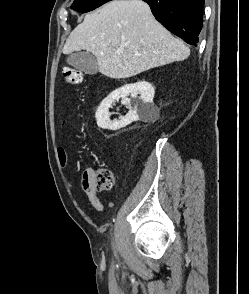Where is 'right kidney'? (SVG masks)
Wrapping results in <instances>:
<instances>
[{
  "label": "right kidney",
  "instance_id": "1",
  "mask_svg": "<svg viewBox=\"0 0 249 294\" xmlns=\"http://www.w3.org/2000/svg\"><path fill=\"white\" fill-rule=\"evenodd\" d=\"M154 94V87L147 81L127 84L116 89L101 102L96 111L95 118L98 127L115 131L139 119L153 120L158 114V107L153 103ZM120 98L121 103L128 105L130 110L119 120L111 121L109 108Z\"/></svg>",
  "mask_w": 249,
  "mask_h": 294
}]
</instances>
